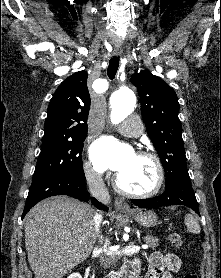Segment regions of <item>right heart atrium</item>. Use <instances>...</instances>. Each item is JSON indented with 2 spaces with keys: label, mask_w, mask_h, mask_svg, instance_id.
<instances>
[{
  "label": "right heart atrium",
  "mask_w": 221,
  "mask_h": 278,
  "mask_svg": "<svg viewBox=\"0 0 221 278\" xmlns=\"http://www.w3.org/2000/svg\"><path fill=\"white\" fill-rule=\"evenodd\" d=\"M83 172L88 182L95 183L100 180V174L93 169L89 162L84 163Z\"/></svg>",
  "instance_id": "1"
}]
</instances>
